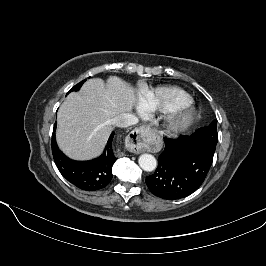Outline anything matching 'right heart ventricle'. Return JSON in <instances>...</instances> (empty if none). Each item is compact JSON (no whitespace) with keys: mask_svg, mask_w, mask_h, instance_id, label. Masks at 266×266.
I'll use <instances>...</instances> for the list:
<instances>
[{"mask_svg":"<svg viewBox=\"0 0 266 266\" xmlns=\"http://www.w3.org/2000/svg\"><path fill=\"white\" fill-rule=\"evenodd\" d=\"M191 103V96L181 88L174 86L158 87L148 91L143 97L144 109L152 113L169 114Z\"/></svg>","mask_w":266,"mask_h":266,"instance_id":"obj_1","label":"right heart ventricle"}]
</instances>
